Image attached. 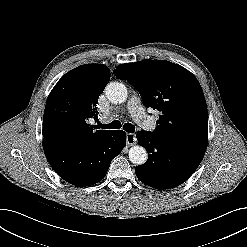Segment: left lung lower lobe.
Masks as SVG:
<instances>
[{
    "label": "left lung lower lobe",
    "mask_w": 247,
    "mask_h": 247,
    "mask_svg": "<svg viewBox=\"0 0 247 247\" xmlns=\"http://www.w3.org/2000/svg\"><path fill=\"white\" fill-rule=\"evenodd\" d=\"M148 152L145 164L137 166L138 179L156 189H171L185 182L197 169L205 152L177 146L156 138L150 132L136 135Z\"/></svg>",
    "instance_id": "obj_1"
}]
</instances>
